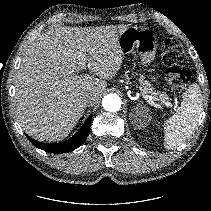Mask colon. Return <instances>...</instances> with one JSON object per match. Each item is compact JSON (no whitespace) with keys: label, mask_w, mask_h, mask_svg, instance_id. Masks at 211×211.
Here are the masks:
<instances>
[{"label":"colon","mask_w":211,"mask_h":211,"mask_svg":"<svg viewBox=\"0 0 211 211\" xmlns=\"http://www.w3.org/2000/svg\"><path fill=\"white\" fill-rule=\"evenodd\" d=\"M161 58L167 67L165 77L171 90L182 92L190 80L189 71L181 67L186 59L183 47L177 40L167 38L163 43Z\"/></svg>","instance_id":"colon-1"}]
</instances>
